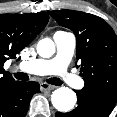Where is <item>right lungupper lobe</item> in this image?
Segmentation results:
<instances>
[{
  "label": "right lung upper lobe",
  "instance_id": "1",
  "mask_svg": "<svg viewBox=\"0 0 117 117\" xmlns=\"http://www.w3.org/2000/svg\"><path fill=\"white\" fill-rule=\"evenodd\" d=\"M48 20L46 12L0 14V92L17 82L4 70V63L9 58L15 59L45 28Z\"/></svg>",
  "mask_w": 117,
  "mask_h": 117
}]
</instances>
